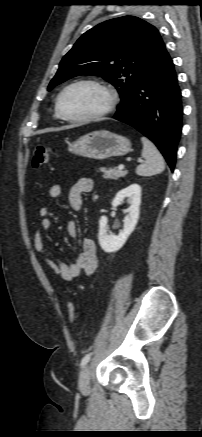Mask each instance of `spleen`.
<instances>
[{
	"mask_svg": "<svg viewBox=\"0 0 202 437\" xmlns=\"http://www.w3.org/2000/svg\"><path fill=\"white\" fill-rule=\"evenodd\" d=\"M143 143L142 157L145 158V163L140 164L136 168V173L139 176H152L164 171L165 163L162 155L156 146L146 137H141Z\"/></svg>",
	"mask_w": 202,
	"mask_h": 437,
	"instance_id": "spleen-1",
	"label": "spleen"
}]
</instances>
